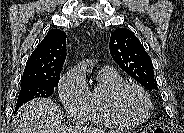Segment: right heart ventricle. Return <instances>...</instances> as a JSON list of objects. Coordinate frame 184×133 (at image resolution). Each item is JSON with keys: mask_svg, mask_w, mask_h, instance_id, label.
Masks as SVG:
<instances>
[{"mask_svg": "<svg viewBox=\"0 0 184 133\" xmlns=\"http://www.w3.org/2000/svg\"><path fill=\"white\" fill-rule=\"evenodd\" d=\"M124 82L125 79L111 67H103L99 70L98 82L90 91V110L86 121L105 126L123 124L111 112L108 98L110 92Z\"/></svg>", "mask_w": 184, "mask_h": 133, "instance_id": "1", "label": "right heart ventricle"}]
</instances>
